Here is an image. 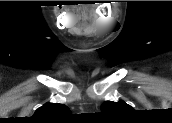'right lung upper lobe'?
<instances>
[{
  "mask_svg": "<svg viewBox=\"0 0 172 123\" xmlns=\"http://www.w3.org/2000/svg\"><path fill=\"white\" fill-rule=\"evenodd\" d=\"M68 115H70V111L64 104L46 103L38 108L30 119L32 121L49 123L62 120Z\"/></svg>",
  "mask_w": 172,
  "mask_h": 123,
  "instance_id": "right-lung-upper-lobe-1",
  "label": "right lung upper lobe"
}]
</instances>
